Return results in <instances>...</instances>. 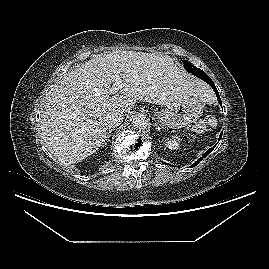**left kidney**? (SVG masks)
<instances>
[{
  "mask_svg": "<svg viewBox=\"0 0 269 269\" xmlns=\"http://www.w3.org/2000/svg\"><path fill=\"white\" fill-rule=\"evenodd\" d=\"M164 144L169 149H177L179 147V144L175 140L166 139Z\"/></svg>",
  "mask_w": 269,
  "mask_h": 269,
  "instance_id": "left-kidney-1",
  "label": "left kidney"
}]
</instances>
